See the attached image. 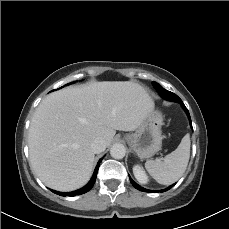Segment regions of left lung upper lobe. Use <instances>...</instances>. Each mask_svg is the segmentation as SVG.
I'll use <instances>...</instances> for the list:
<instances>
[{
  "label": "left lung upper lobe",
  "instance_id": "left-lung-upper-lobe-1",
  "mask_svg": "<svg viewBox=\"0 0 229 229\" xmlns=\"http://www.w3.org/2000/svg\"><path fill=\"white\" fill-rule=\"evenodd\" d=\"M153 86L156 88V90L159 92V94L167 100L177 102L180 99L176 94H174L168 90H165L162 86H160L156 82H153Z\"/></svg>",
  "mask_w": 229,
  "mask_h": 229
}]
</instances>
